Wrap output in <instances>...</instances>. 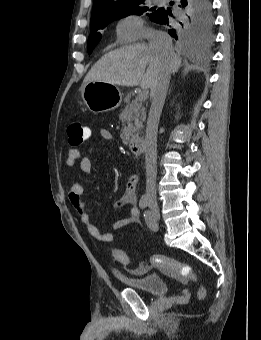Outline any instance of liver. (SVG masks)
Listing matches in <instances>:
<instances>
[{"label":"liver","instance_id":"liver-1","mask_svg":"<svg viewBox=\"0 0 261 340\" xmlns=\"http://www.w3.org/2000/svg\"><path fill=\"white\" fill-rule=\"evenodd\" d=\"M180 65L181 58L174 51L160 58L144 43L125 46L101 57L85 76L83 86L90 81H101L152 90L163 72H177Z\"/></svg>","mask_w":261,"mask_h":340}]
</instances>
